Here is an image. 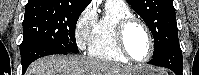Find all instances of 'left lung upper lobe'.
<instances>
[{
	"label": "left lung upper lobe",
	"mask_w": 199,
	"mask_h": 75,
	"mask_svg": "<svg viewBox=\"0 0 199 75\" xmlns=\"http://www.w3.org/2000/svg\"><path fill=\"white\" fill-rule=\"evenodd\" d=\"M148 25L154 37L153 58L179 46L173 0H127Z\"/></svg>",
	"instance_id": "5c2ea615"
}]
</instances>
